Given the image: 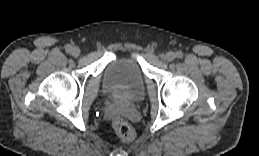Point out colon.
<instances>
[{
	"instance_id": "obj_1",
	"label": "colon",
	"mask_w": 259,
	"mask_h": 156,
	"mask_svg": "<svg viewBox=\"0 0 259 156\" xmlns=\"http://www.w3.org/2000/svg\"><path fill=\"white\" fill-rule=\"evenodd\" d=\"M114 130L122 142H130L135 137L133 127L123 119H117L114 122Z\"/></svg>"
}]
</instances>
